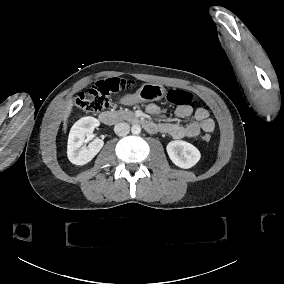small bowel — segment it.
I'll list each match as a JSON object with an SVG mask.
<instances>
[{
  "mask_svg": "<svg viewBox=\"0 0 284 284\" xmlns=\"http://www.w3.org/2000/svg\"><path fill=\"white\" fill-rule=\"evenodd\" d=\"M150 115L160 114L163 109L158 104H150L146 108ZM193 116L194 121L186 125L168 121L164 123H154L147 121L145 129L150 133L163 132L170 135L174 139L195 138L202 132L212 133L215 129V122L210 117V113L206 108L200 107L195 111L189 105L178 106L173 112L175 120L185 119Z\"/></svg>",
  "mask_w": 284,
  "mask_h": 284,
  "instance_id": "1",
  "label": "small bowel"
}]
</instances>
